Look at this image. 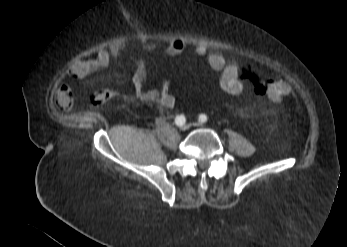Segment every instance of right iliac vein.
Returning <instances> with one entry per match:
<instances>
[{
  "label": "right iliac vein",
  "instance_id": "1",
  "mask_svg": "<svg viewBox=\"0 0 347 247\" xmlns=\"http://www.w3.org/2000/svg\"><path fill=\"white\" fill-rule=\"evenodd\" d=\"M180 130L181 131H187L188 130V126L187 125H182V126H180Z\"/></svg>",
  "mask_w": 347,
  "mask_h": 247
}]
</instances>
